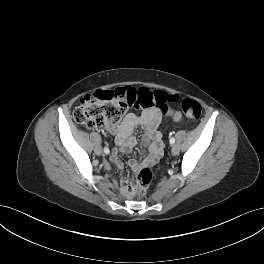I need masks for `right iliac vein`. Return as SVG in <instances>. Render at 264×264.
<instances>
[{"instance_id": "63e3f726", "label": "right iliac vein", "mask_w": 264, "mask_h": 264, "mask_svg": "<svg viewBox=\"0 0 264 264\" xmlns=\"http://www.w3.org/2000/svg\"><path fill=\"white\" fill-rule=\"evenodd\" d=\"M95 153L97 154V155H101L102 154V149H101V147H96L95 148Z\"/></svg>"}]
</instances>
